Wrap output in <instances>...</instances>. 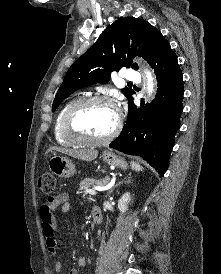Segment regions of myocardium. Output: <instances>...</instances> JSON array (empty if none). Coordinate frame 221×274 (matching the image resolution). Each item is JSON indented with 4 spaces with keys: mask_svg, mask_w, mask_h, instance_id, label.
<instances>
[{
    "mask_svg": "<svg viewBox=\"0 0 221 274\" xmlns=\"http://www.w3.org/2000/svg\"><path fill=\"white\" fill-rule=\"evenodd\" d=\"M94 104H105L111 106L116 112V121L113 129L105 136L100 138H91L82 134L76 127L75 119L77 114L84 108ZM122 118L115 102L105 96H90L74 101L65 111L62 119V131L64 135L77 144L97 145L111 141L120 131Z\"/></svg>",
    "mask_w": 221,
    "mask_h": 274,
    "instance_id": "myocardium-1",
    "label": "myocardium"
}]
</instances>
